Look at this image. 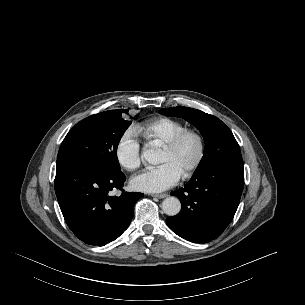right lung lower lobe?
Here are the masks:
<instances>
[{
    "mask_svg": "<svg viewBox=\"0 0 305 305\" xmlns=\"http://www.w3.org/2000/svg\"><path fill=\"white\" fill-rule=\"evenodd\" d=\"M126 180L123 172L106 173L86 168L56 170L55 192L64 219L77 238L103 246L118 238L130 224L139 192L111 196Z\"/></svg>",
    "mask_w": 305,
    "mask_h": 305,
    "instance_id": "1",
    "label": "right lung lower lobe"
}]
</instances>
